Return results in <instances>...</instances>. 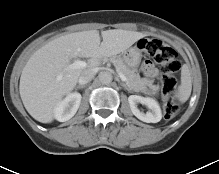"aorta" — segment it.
<instances>
[{
  "instance_id": "obj_1",
  "label": "aorta",
  "mask_w": 219,
  "mask_h": 174,
  "mask_svg": "<svg viewBox=\"0 0 219 174\" xmlns=\"http://www.w3.org/2000/svg\"><path fill=\"white\" fill-rule=\"evenodd\" d=\"M112 79H113V76L110 72L108 71H104V72H101L99 74V81L102 83V84H110L112 82Z\"/></svg>"
}]
</instances>
